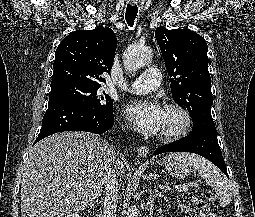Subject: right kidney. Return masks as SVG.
Returning a JSON list of instances; mask_svg holds the SVG:
<instances>
[{
	"instance_id": "right-kidney-1",
	"label": "right kidney",
	"mask_w": 255,
	"mask_h": 217,
	"mask_svg": "<svg viewBox=\"0 0 255 217\" xmlns=\"http://www.w3.org/2000/svg\"><path fill=\"white\" fill-rule=\"evenodd\" d=\"M67 217H81L78 213L69 214Z\"/></svg>"
}]
</instances>
